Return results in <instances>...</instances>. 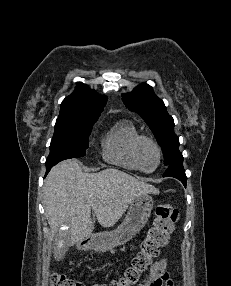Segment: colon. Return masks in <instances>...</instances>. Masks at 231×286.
<instances>
[{"label":"colon","mask_w":231,"mask_h":286,"mask_svg":"<svg viewBox=\"0 0 231 286\" xmlns=\"http://www.w3.org/2000/svg\"><path fill=\"white\" fill-rule=\"evenodd\" d=\"M179 219L178 210L170 204L158 205L152 226L148 229L146 237L140 244L139 251L133 257L130 266L124 274L107 283H94L89 286H133L141 275L147 271L153 260L158 257L160 250L169 241L175 223ZM50 286H87L81 281L55 273L50 278Z\"/></svg>","instance_id":"colon-1"}]
</instances>
